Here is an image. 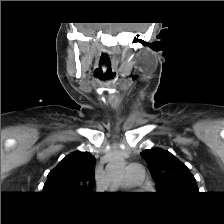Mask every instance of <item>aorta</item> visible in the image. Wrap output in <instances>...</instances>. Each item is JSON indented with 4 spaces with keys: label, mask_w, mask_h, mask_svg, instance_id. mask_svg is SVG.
<instances>
[{
    "label": "aorta",
    "mask_w": 224,
    "mask_h": 224,
    "mask_svg": "<svg viewBox=\"0 0 224 224\" xmlns=\"http://www.w3.org/2000/svg\"><path fill=\"white\" fill-rule=\"evenodd\" d=\"M125 166H126L125 160L120 155L114 156L109 161L106 171L112 189H115L116 185L123 178L125 172Z\"/></svg>",
    "instance_id": "1"
}]
</instances>
